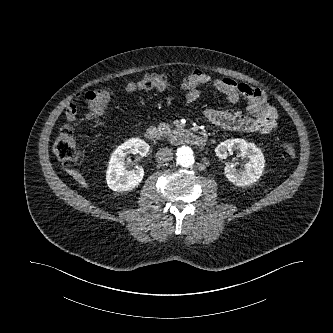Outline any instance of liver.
<instances>
[{"instance_id":"obj_1","label":"liver","mask_w":333,"mask_h":333,"mask_svg":"<svg viewBox=\"0 0 333 333\" xmlns=\"http://www.w3.org/2000/svg\"><path fill=\"white\" fill-rule=\"evenodd\" d=\"M73 177L76 181H78L83 187L87 188L88 184L86 183L85 179L79 172H73Z\"/></svg>"}]
</instances>
